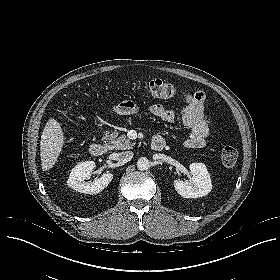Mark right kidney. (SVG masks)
<instances>
[{
	"label": "right kidney",
	"mask_w": 280,
	"mask_h": 280,
	"mask_svg": "<svg viewBox=\"0 0 280 280\" xmlns=\"http://www.w3.org/2000/svg\"><path fill=\"white\" fill-rule=\"evenodd\" d=\"M94 167L95 163L93 161H85L77 164L71 170L67 185L80 193L97 194L101 192L111 182L113 174L106 172L93 182H85L92 175Z\"/></svg>",
	"instance_id": "obj_1"
}]
</instances>
